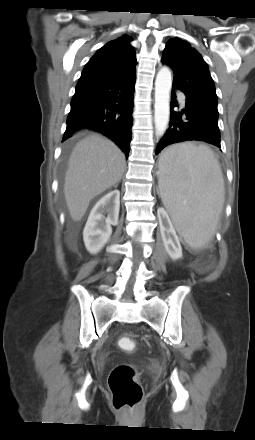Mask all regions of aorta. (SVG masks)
<instances>
[{"label":"aorta","instance_id":"762f6f07","mask_svg":"<svg viewBox=\"0 0 255 440\" xmlns=\"http://www.w3.org/2000/svg\"><path fill=\"white\" fill-rule=\"evenodd\" d=\"M172 87L171 72L167 67L161 68L155 80V133L162 136L168 126L170 115V91Z\"/></svg>","mask_w":255,"mask_h":440}]
</instances>
